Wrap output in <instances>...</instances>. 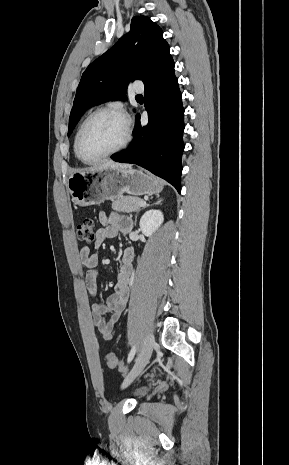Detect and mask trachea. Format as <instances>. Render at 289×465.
<instances>
[{"instance_id":"3493384b","label":"trachea","mask_w":289,"mask_h":465,"mask_svg":"<svg viewBox=\"0 0 289 465\" xmlns=\"http://www.w3.org/2000/svg\"><path fill=\"white\" fill-rule=\"evenodd\" d=\"M136 97H137V98H141V97H143V96H142V95H140V94H138V95H136Z\"/></svg>"}]
</instances>
